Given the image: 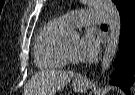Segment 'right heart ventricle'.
Returning <instances> with one entry per match:
<instances>
[{"instance_id":"right-heart-ventricle-1","label":"right heart ventricle","mask_w":135,"mask_h":95,"mask_svg":"<svg viewBox=\"0 0 135 95\" xmlns=\"http://www.w3.org/2000/svg\"><path fill=\"white\" fill-rule=\"evenodd\" d=\"M69 28L61 18L49 20L42 25L34 42V58L39 68L57 69L65 66L62 45L64 34Z\"/></svg>"}]
</instances>
